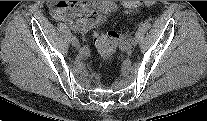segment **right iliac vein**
<instances>
[{"instance_id": "1", "label": "right iliac vein", "mask_w": 207, "mask_h": 121, "mask_svg": "<svg viewBox=\"0 0 207 121\" xmlns=\"http://www.w3.org/2000/svg\"><path fill=\"white\" fill-rule=\"evenodd\" d=\"M70 42L73 46L77 47L79 45V41L75 36H72ZM85 51V50H84Z\"/></svg>"}]
</instances>
